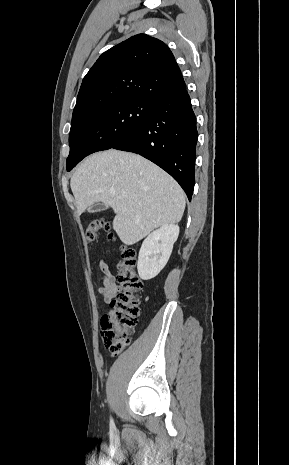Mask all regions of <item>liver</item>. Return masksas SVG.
Wrapping results in <instances>:
<instances>
[{
  "instance_id": "liver-1",
  "label": "liver",
  "mask_w": 289,
  "mask_h": 465,
  "mask_svg": "<svg viewBox=\"0 0 289 465\" xmlns=\"http://www.w3.org/2000/svg\"><path fill=\"white\" fill-rule=\"evenodd\" d=\"M77 212L102 202L114 210L113 229L133 245L155 228L178 223L185 194L165 171L144 157L110 149L87 157L70 181Z\"/></svg>"
}]
</instances>
